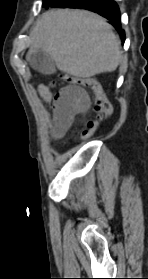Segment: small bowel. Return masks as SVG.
Returning <instances> with one entry per match:
<instances>
[{
    "mask_svg": "<svg viewBox=\"0 0 148 279\" xmlns=\"http://www.w3.org/2000/svg\"><path fill=\"white\" fill-rule=\"evenodd\" d=\"M88 106L89 97L83 88L75 85L62 87L52 101L51 136L55 139L64 136L75 118L85 112Z\"/></svg>",
    "mask_w": 148,
    "mask_h": 279,
    "instance_id": "c3829d8e",
    "label": "small bowel"
}]
</instances>
